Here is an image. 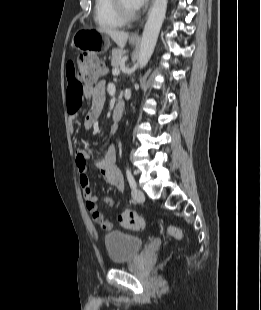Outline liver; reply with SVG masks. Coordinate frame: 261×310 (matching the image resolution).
Here are the masks:
<instances>
[{
	"instance_id": "liver-1",
	"label": "liver",
	"mask_w": 261,
	"mask_h": 310,
	"mask_svg": "<svg viewBox=\"0 0 261 310\" xmlns=\"http://www.w3.org/2000/svg\"><path fill=\"white\" fill-rule=\"evenodd\" d=\"M100 32L106 33L111 39L118 45L119 48L123 49L127 43L129 34L124 31L112 30V29H98Z\"/></svg>"
}]
</instances>
